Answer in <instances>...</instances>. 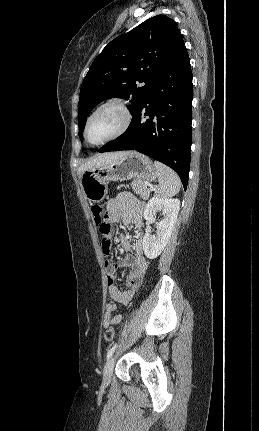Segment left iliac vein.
<instances>
[{"label": "left iliac vein", "instance_id": "1", "mask_svg": "<svg viewBox=\"0 0 259 431\" xmlns=\"http://www.w3.org/2000/svg\"><path fill=\"white\" fill-rule=\"evenodd\" d=\"M115 358L111 357L105 364L103 370V381L105 384H108L111 381L113 368H114Z\"/></svg>", "mask_w": 259, "mask_h": 431}]
</instances>
